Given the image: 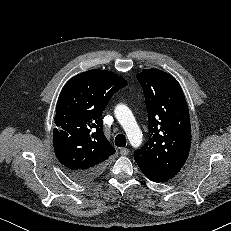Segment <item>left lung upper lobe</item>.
Instances as JSON below:
<instances>
[{
    "mask_svg": "<svg viewBox=\"0 0 231 231\" xmlns=\"http://www.w3.org/2000/svg\"><path fill=\"white\" fill-rule=\"evenodd\" d=\"M146 101L150 138L136 152L137 158L155 170L176 175L191 145L189 111L177 80L159 69L137 74Z\"/></svg>",
    "mask_w": 231,
    "mask_h": 231,
    "instance_id": "1",
    "label": "left lung upper lobe"
}]
</instances>
